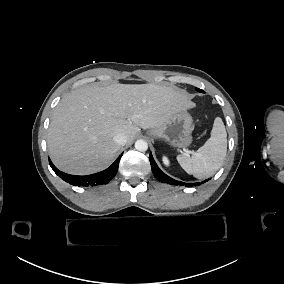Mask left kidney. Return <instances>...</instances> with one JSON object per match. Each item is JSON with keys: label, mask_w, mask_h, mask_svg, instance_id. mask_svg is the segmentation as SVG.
Masks as SVG:
<instances>
[{"label": "left kidney", "mask_w": 284, "mask_h": 284, "mask_svg": "<svg viewBox=\"0 0 284 284\" xmlns=\"http://www.w3.org/2000/svg\"><path fill=\"white\" fill-rule=\"evenodd\" d=\"M164 162H165L166 164H168V160H167L166 158H164Z\"/></svg>", "instance_id": "left-kidney-1"}]
</instances>
